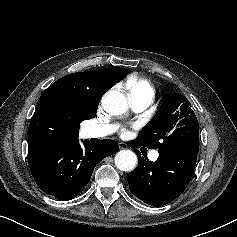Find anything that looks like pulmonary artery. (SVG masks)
I'll return each mask as SVG.
<instances>
[{"mask_svg": "<svg viewBox=\"0 0 237 237\" xmlns=\"http://www.w3.org/2000/svg\"><path fill=\"white\" fill-rule=\"evenodd\" d=\"M131 105L135 111H143L145 110L150 104L151 100L148 98H141L130 100ZM116 131V125L114 124H107V125H92L87 128V136L90 138H104L113 134ZM158 153L152 152L150 154V158L152 160L157 159Z\"/></svg>", "mask_w": 237, "mask_h": 237, "instance_id": "1", "label": "pulmonary artery"}]
</instances>
